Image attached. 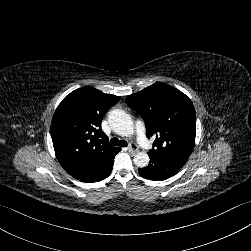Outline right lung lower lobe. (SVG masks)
Here are the masks:
<instances>
[{
  "label": "right lung lower lobe",
  "instance_id": "obj_1",
  "mask_svg": "<svg viewBox=\"0 0 251 251\" xmlns=\"http://www.w3.org/2000/svg\"><path fill=\"white\" fill-rule=\"evenodd\" d=\"M111 170H112V168H111L110 171L108 172L107 176L110 174ZM107 176H106V177H107ZM106 177H105V178H106ZM102 180H103V179H102Z\"/></svg>",
  "mask_w": 251,
  "mask_h": 251
}]
</instances>
